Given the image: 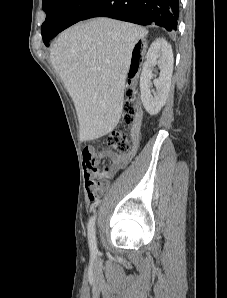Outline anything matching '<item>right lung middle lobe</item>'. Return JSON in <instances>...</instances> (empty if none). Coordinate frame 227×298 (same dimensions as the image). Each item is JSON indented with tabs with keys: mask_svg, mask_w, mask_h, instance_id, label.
<instances>
[{
	"mask_svg": "<svg viewBox=\"0 0 227 298\" xmlns=\"http://www.w3.org/2000/svg\"><path fill=\"white\" fill-rule=\"evenodd\" d=\"M100 0H43L46 20L43 23L42 37L46 46L59 31L80 21Z\"/></svg>",
	"mask_w": 227,
	"mask_h": 298,
	"instance_id": "obj_1",
	"label": "right lung middle lobe"
}]
</instances>
